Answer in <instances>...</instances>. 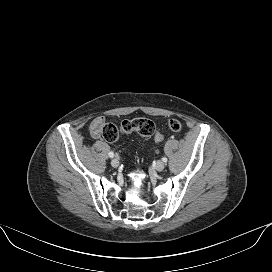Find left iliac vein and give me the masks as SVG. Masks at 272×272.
I'll use <instances>...</instances> for the list:
<instances>
[{
	"mask_svg": "<svg viewBox=\"0 0 272 272\" xmlns=\"http://www.w3.org/2000/svg\"><path fill=\"white\" fill-rule=\"evenodd\" d=\"M157 171H162L165 168V164L162 161H157L154 165Z\"/></svg>",
	"mask_w": 272,
	"mask_h": 272,
	"instance_id": "1",
	"label": "left iliac vein"
}]
</instances>
